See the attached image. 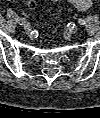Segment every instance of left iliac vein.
Returning a JSON list of instances; mask_svg holds the SVG:
<instances>
[{
  "mask_svg": "<svg viewBox=\"0 0 100 118\" xmlns=\"http://www.w3.org/2000/svg\"><path fill=\"white\" fill-rule=\"evenodd\" d=\"M77 31H78L77 27H72V28L68 29L67 33L69 35H72V34H75Z\"/></svg>",
  "mask_w": 100,
  "mask_h": 118,
  "instance_id": "1",
  "label": "left iliac vein"
}]
</instances>
